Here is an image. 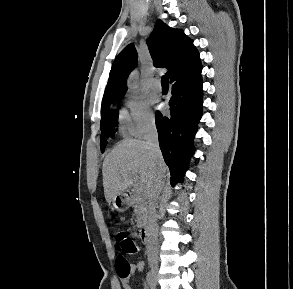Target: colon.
I'll use <instances>...</instances> for the list:
<instances>
[{
  "label": "colon",
  "mask_w": 293,
  "mask_h": 289,
  "mask_svg": "<svg viewBox=\"0 0 293 289\" xmlns=\"http://www.w3.org/2000/svg\"><path fill=\"white\" fill-rule=\"evenodd\" d=\"M115 241L118 247L126 255H136L140 251L139 244L130 236L126 235L124 232H117L115 235ZM131 270V266L126 258H121L118 262V273L122 277H126Z\"/></svg>",
  "instance_id": "obj_1"
}]
</instances>
